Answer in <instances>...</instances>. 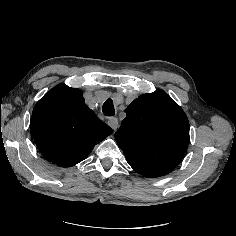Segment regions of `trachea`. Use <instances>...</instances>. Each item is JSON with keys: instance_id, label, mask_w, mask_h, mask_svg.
<instances>
[{"instance_id": "trachea-1", "label": "trachea", "mask_w": 236, "mask_h": 236, "mask_svg": "<svg viewBox=\"0 0 236 236\" xmlns=\"http://www.w3.org/2000/svg\"><path fill=\"white\" fill-rule=\"evenodd\" d=\"M102 111L106 116H113L115 114L113 101L111 99L106 100L103 105Z\"/></svg>"}]
</instances>
